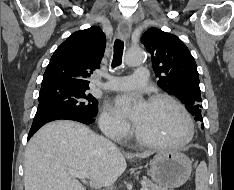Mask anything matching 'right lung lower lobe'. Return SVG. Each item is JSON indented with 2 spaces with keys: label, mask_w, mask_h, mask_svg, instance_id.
<instances>
[{
  "label": "right lung lower lobe",
  "mask_w": 234,
  "mask_h": 190,
  "mask_svg": "<svg viewBox=\"0 0 234 190\" xmlns=\"http://www.w3.org/2000/svg\"><path fill=\"white\" fill-rule=\"evenodd\" d=\"M61 119L74 120V121L81 122L83 124H91L94 122L93 118H88V117L80 116V115L73 114V113H68V112L53 113V114H50V115H48V116H46V117H44V118H42V119H40L32 124V127H31L29 135H28V140L44 124L51 122V121H54V120H61Z\"/></svg>",
  "instance_id": "98d812e1"
}]
</instances>
